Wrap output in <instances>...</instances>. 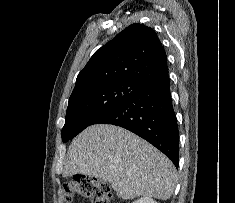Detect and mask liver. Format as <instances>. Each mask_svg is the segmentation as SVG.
Here are the masks:
<instances>
[{
  "mask_svg": "<svg viewBox=\"0 0 235 203\" xmlns=\"http://www.w3.org/2000/svg\"><path fill=\"white\" fill-rule=\"evenodd\" d=\"M83 174L107 181L119 198L167 200L177 178L172 162L136 134L119 126L95 124L69 146L63 175Z\"/></svg>",
  "mask_w": 235,
  "mask_h": 203,
  "instance_id": "1",
  "label": "liver"
}]
</instances>
